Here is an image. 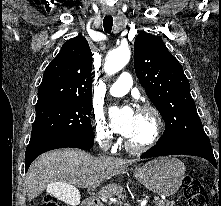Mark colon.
<instances>
[{"instance_id": "1", "label": "colon", "mask_w": 221, "mask_h": 206, "mask_svg": "<svg viewBox=\"0 0 221 206\" xmlns=\"http://www.w3.org/2000/svg\"><path fill=\"white\" fill-rule=\"evenodd\" d=\"M183 189L189 206H208V196L201 182L187 175L183 181ZM42 206H60L59 202L50 196L42 200Z\"/></svg>"}]
</instances>
